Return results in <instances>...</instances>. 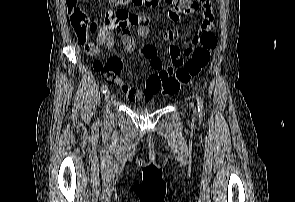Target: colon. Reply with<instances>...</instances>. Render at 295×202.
Wrapping results in <instances>:
<instances>
[{"mask_svg": "<svg viewBox=\"0 0 295 202\" xmlns=\"http://www.w3.org/2000/svg\"><path fill=\"white\" fill-rule=\"evenodd\" d=\"M170 2L172 0H166ZM117 5L132 4L135 6L155 7L161 0H113ZM69 6V19L77 39L85 45L92 44L91 40L97 32L96 22L77 6L74 0H67ZM117 18L122 26L138 23L136 15H129L124 9L117 11ZM195 48L188 49L184 56L168 65L158 74H152L147 80L146 90L162 93L165 96L176 94L182 86L189 85L195 77L209 64L211 51L216 47L217 39L212 28L201 31L195 39Z\"/></svg>", "mask_w": 295, "mask_h": 202, "instance_id": "1", "label": "colon"}]
</instances>
